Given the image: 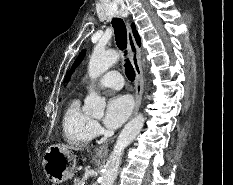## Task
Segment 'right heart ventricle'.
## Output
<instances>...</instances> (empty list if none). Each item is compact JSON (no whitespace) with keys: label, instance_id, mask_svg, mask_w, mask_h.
I'll list each match as a JSON object with an SVG mask.
<instances>
[{"label":"right heart ventricle","instance_id":"right-heart-ventricle-1","mask_svg":"<svg viewBox=\"0 0 233 185\" xmlns=\"http://www.w3.org/2000/svg\"><path fill=\"white\" fill-rule=\"evenodd\" d=\"M91 125L92 119L81 110L79 99H72L62 119L65 140L75 146L88 144L93 138Z\"/></svg>","mask_w":233,"mask_h":185}]
</instances>
